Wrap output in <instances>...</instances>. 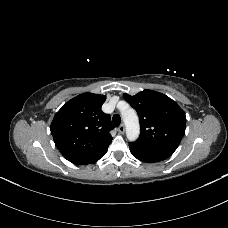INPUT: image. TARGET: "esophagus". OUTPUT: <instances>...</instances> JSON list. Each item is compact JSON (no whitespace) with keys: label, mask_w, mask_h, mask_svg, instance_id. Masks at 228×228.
Wrapping results in <instances>:
<instances>
[{"label":"esophagus","mask_w":228,"mask_h":228,"mask_svg":"<svg viewBox=\"0 0 228 228\" xmlns=\"http://www.w3.org/2000/svg\"><path fill=\"white\" fill-rule=\"evenodd\" d=\"M118 131L123 134L125 132V126L124 124H121L119 127H118Z\"/></svg>","instance_id":"obj_1"}]
</instances>
